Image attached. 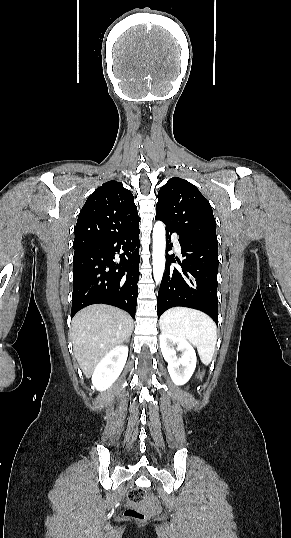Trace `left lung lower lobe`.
Segmentation results:
<instances>
[{
  "label": "left lung lower lobe",
  "mask_w": 291,
  "mask_h": 538,
  "mask_svg": "<svg viewBox=\"0 0 291 538\" xmlns=\"http://www.w3.org/2000/svg\"><path fill=\"white\" fill-rule=\"evenodd\" d=\"M166 230L169 251L170 235L176 231L168 227ZM176 233L185 259L182 263L178 260L180 267H170L175 263L174 255L167 256L158 292V317L169 308L183 306L203 311L218 323V241Z\"/></svg>",
  "instance_id": "left-lung-lower-lobe-1"
}]
</instances>
